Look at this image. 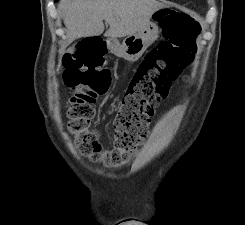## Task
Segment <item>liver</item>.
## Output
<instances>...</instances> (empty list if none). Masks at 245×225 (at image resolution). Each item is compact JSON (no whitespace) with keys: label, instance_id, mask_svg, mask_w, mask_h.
Listing matches in <instances>:
<instances>
[{"label":"liver","instance_id":"liver-1","mask_svg":"<svg viewBox=\"0 0 245 225\" xmlns=\"http://www.w3.org/2000/svg\"><path fill=\"white\" fill-rule=\"evenodd\" d=\"M163 7L157 0H61L58 11L67 28L69 45L76 39L102 34L103 20L109 25L107 37L134 35Z\"/></svg>","mask_w":245,"mask_h":225}]
</instances>
